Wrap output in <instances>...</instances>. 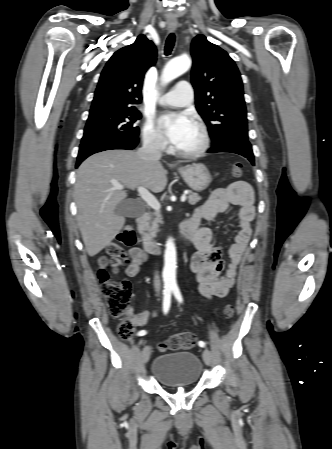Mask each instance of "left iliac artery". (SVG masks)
<instances>
[{
	"instance_id": "left-iliac-artery-1",
	"label": "left iliac artery",
	"mask_w": 332,
	"mask_h": 449,
	"mask_svg": "<svg viewBox=\"0 0 332 449\" xmlns=\"http://www.w3.org/2000/svg\"><path fill=\"white\" fill-rule=\"evenodd\" d=\"M171 289H172V292H173V294H174L176 300H177L178 302L182 303V302H183V298H182V295H181V292H180L179 287H178L177 285H173ZM198 345H199L200 347H205V346H206V343L203 342V341H199V342H198Z\"/></svg>"
}]
</instances>
